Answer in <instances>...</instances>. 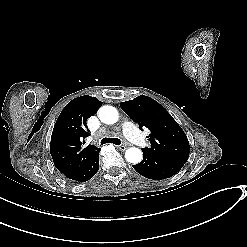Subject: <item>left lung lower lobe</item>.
I'll list each match as a JSON object with an SVG mask.
<instances>
[{
	"label": "left lung lower lobe",
	"mask_w": 247,
	"mask_h": 247,
	"mask_svg": "<svg viewBox=\"0 0 247 247\" xmlns=\"http://www.w3.org/2000/svg\"><path fill=\"white\" fill-rule=\"evenodd\" d=\"M143 160L133 168L148 179L161 180L172 177L183 165L172 161L162 155L143 150Z\"/></svg>",
	"instance_id": "1"
}]
</instances>
